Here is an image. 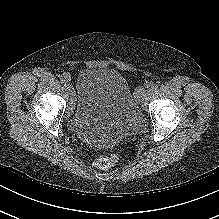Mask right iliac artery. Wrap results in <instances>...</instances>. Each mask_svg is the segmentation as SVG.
I'll return each instance as SVG.
<instances>
[{
	"label": "right iliac artery",
	"mask_w": 219,
	"mask_h": 219,
	"mask_svg": "<svg viewBox=\"0 0 219 219\" xmlns=\"http://www.w3.org/2000/svg\"><path fill=\"white\" fill-rule=\"evenodd\" d=\"M69 80L70 76L68 74H63V77L61 78V83L67 85Z\"/></svg>",
	"instance_id": "right-iliac-artery-1"
}]
</instances>
